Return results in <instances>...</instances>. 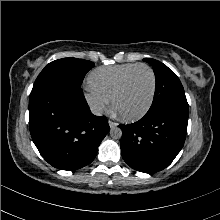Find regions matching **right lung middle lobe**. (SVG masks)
Here are the masks:
<instances>
[{
    "label": "right lung middle lobe",
    "instance_id": "obj_1",
    "mask_svg": "<svg viewBox=\"0 0 220 220\" xmlns=\"http://www.w3.org/2000/svg\"><path fill=\"white\" fill-rule=\"evenodd\" d=\"M94 63L77 58H63L49 63L38 75L33 89L47 84H65L81 87L86 73Z\"/></svg>",
    "mask_w": 220,
    "mask_h": 220
}]
</instances>
